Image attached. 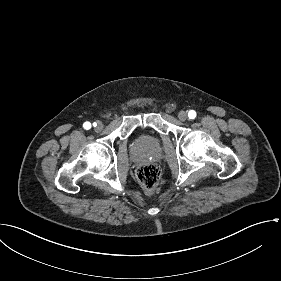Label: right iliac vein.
I'll list each match as a JSON object with an SVG mask.
<instances>
[{"mask_svg": "<svg viewBox=\"0 0 281 281\" xmlns=\"http://www.w3.org/2000/svg\"><path fill=\"white\" fill-rule=\"evenodd\" d=\"M103 129V124L101 122H97L95 130L100 132Z\"/></svg>", "mask_w": 281, "mask_h": 281, "instance_id": "obj_1", "label": "right iliac vein"}]
</instances>
